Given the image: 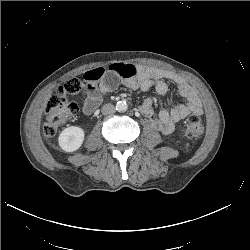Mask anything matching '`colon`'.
I'll return each instance as SVG.
<instances>
[{
    "label": "colon",
    "mask_w": 250,
    "mask_h": 250,
    "mask_svg": "<svg viewBox=\"0 0 250 250\" xmlns=\"http://www.w3.org/2000/svg\"><path fill=\"white\" fill-rule=\"evenodd\" d=\"M82 86V81L78 79L69 80L49 98L45 106L46 119L43 125L46 136H53L61 124L78 112V103L71 97L77 96ZM204 130V124L198 115L192 114L187 118L185 135L188 138H201Z\"/></svg>",
    "instance_id": "5ec220e1"
}]
</instances>
